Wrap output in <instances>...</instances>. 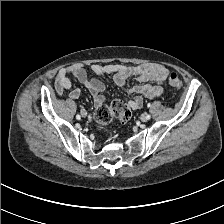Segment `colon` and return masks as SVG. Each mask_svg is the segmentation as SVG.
<instances>
[{"label": "colon", "mask_w": 224, "mask_h": 224, "mask_svg": "<svg viewBox=\"0 0 224 224\" xmlns=\"http://www.w3.org/2000/svg\"><path fill=\"white\" fill-rule=\"evenodd\" d=\"M168 84L175 91H180L182 81L176 73H171L168 76ZM131 117V111L125 102L122 100H114L110 105H100L95 112V120L100 125L110 124L114 118L122 122H126Z\"/></svg>", "instance_id": "colon-1"}]
</instances>
